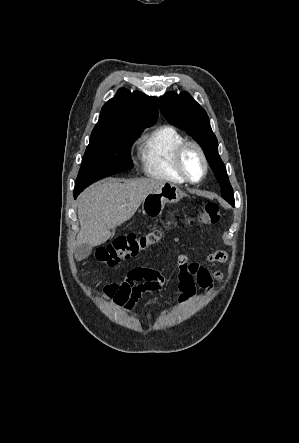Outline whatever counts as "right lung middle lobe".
<instances>
[{
	"instance_id": "right-lung-middle-lobe-1",
	"label": "right lung middle lobe",
	"mask_w": 299,
	"mask_h": 443,
	"mask_svg": "<svg viewBox=\"0 0 299 443\" xmlns=\"http://www.w3.org/2000/svg\"><path fill=\"white\" fill-rule=\"evenodd\" d=\"M152 125L91 136L74 192H81L104 177L133 168L130 157L131 146L143 129Z\"/></svg>"
}]
</instances>
